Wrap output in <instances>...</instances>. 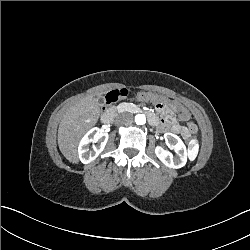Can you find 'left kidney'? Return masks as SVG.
Here are the masks:
<instances>
[{
  "mask_svg": "<svg viewBox=\"0 0 250 250\" xmlns=\"http://www.w3.org/2000/svg\"><path fill=\"white\" fill-rule=\"evenodd\" d=\"M165 140L172 146V150L177 154L173 156L168 150H164L161 147H157L155 152L160 160L168 167L181 168L187 163V149L184 142L179 136L173 133H165Z\"/></svg>",
  "mask_w": 250,
  "mask_h": 250,
  "instance_id": "1",
  "label": "left kidney"
}]
</instances>
